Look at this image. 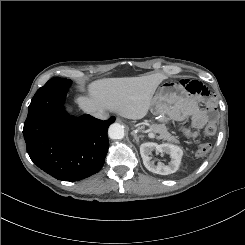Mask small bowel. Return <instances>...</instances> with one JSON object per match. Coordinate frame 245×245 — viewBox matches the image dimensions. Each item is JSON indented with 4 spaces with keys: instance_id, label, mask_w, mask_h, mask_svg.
Listing matches in <instances>:
<instances>
[{
    "instance_id": "obj_1",
    "label": "small bowel",
    "mask_w": 245,
    "mask_h": 245,
    "mask_svg": "<svg viewBox=\"0 0 245 245\" xmlns=\"http://www.w3.org/2000/svg\"><path fill=\"white\" fill-rule=\"evenodd\" d=\"M177 86L181 90H185L186 94L189 96L199 95L200 99L203 101H208L212 97V92L210 89L205 87L202 83L189 80L186 77H181L177 81ZM211 110H202L194 107V113L192 116V124L195 128L202 127L211 115Z\"/></svg>"
}]
</instances>
